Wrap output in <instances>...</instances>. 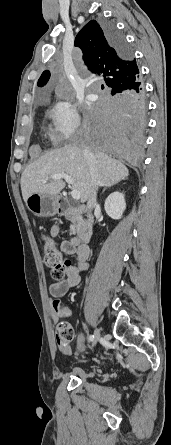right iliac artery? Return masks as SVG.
Returning a JSON list of instances; mask_svg holds the SVG:
<instances>
[{
    "label": "right iliac artery",
    "mask_w": 171,
    "mask_h": 445,
    "mask_svg": "<svg viewBox=\"0 0 171 445\" xmlns=\"http://www.w3.org/2000/svg\"><path fill=\"white\" fill-rule=\"evenodd\" d=\"M93 340H94V335H90V336H89V341L92 342Z\"/></svg>",
    "instance_id": "82829eb1"
}]
</instances>
